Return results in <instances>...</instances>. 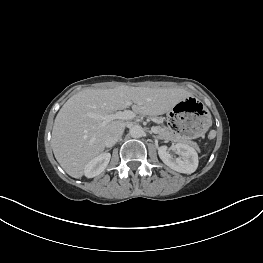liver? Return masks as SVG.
<instances>
[{
    "instance_id": "1",
    "label": "liver",
    "mask_w": 263,
    "mask_h": 263,
    "mask_svg": "<svg viewBox=\"0 0 263 263\" xmlns=\"http://www.w3.org/2000/svg\"><path fill=\"white\" fill-rule=\"evenodd\" d=\"M189 96L182 88L123 85L82 90L62 106L55 118L51 139L54 156L68 175L81 178L86 164L104 151L109 133L125 127L123 120L102 125L101 120L89 117V113L113 114L133 104L135 114L161 115Z\"/></svg>"
}]
</instances>
